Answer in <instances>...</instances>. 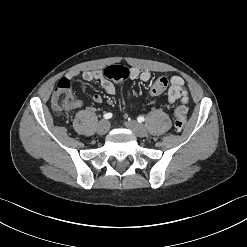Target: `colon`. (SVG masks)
Segmentation results:
<instances>
[{
	"instance_id": "obj_1",
	"label": "colon",
	"mask_w": 247,
	"mask_h": 247,
	"mask_svg": "<svg viewBox=\"0 0 247 247\" xmlns=\"http://www.w3.org/2000/svg\"><path fill=\"white\" fill-rule=\"evenodd\" d=\"M105 78L116 83H124L130 76L128 68L121 65H112L104 69ZM168 80L161 77L153 84L151 93L160 95L167 87ZM74 98L70 90V85L65 82H59L52 95L53 108L58 112L67 111L73 108ZM187 120V108L185 105H178L174 111V126L176 131H181Z\"/></svg>"
}]
</instances>
